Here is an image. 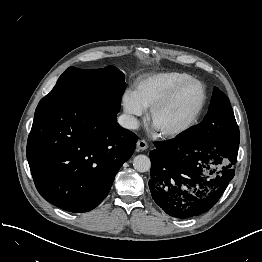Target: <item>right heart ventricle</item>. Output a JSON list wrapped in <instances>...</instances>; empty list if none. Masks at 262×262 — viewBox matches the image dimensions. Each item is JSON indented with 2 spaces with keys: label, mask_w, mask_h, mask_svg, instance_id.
I'll return each instance as SVG.
<instances>
[{
  "label": "right heart ventricle",
  "mask_w": 262,
  "mask_h": 262,
  "mask_svg": "<svg viewBox=\"0 0 262 262\" xmlns=\"http://www.w3.org/2000/svg\"><path fill=\"white\" fill-rule=\"evenodd\" d=\"M192 78L184 72H163L139 80L133 92L143 109L151 108L168 91L182 81Z\"/></svg>",
  "instance_id": "right-heart-ventricle-1"
}]
</instances>
